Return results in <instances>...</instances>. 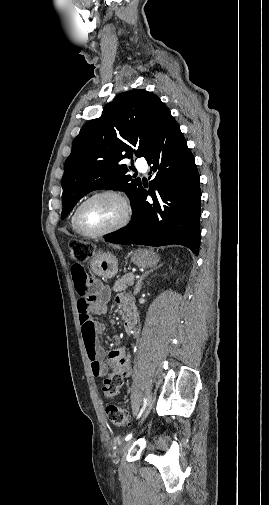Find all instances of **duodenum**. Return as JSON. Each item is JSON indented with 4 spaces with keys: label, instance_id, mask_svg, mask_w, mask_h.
Here are the masks:
<instances>
[{
    "label": "duodenum",
    "instance_id": "410a0bca",
    "mask_svg": "<svg viewBox=\"0 0 269 505\" xmlns=\"http://www.w3.org/2000/svg\"><path fill=\"white\" fill-rule=\"evenodd\" d=\"M124 326L127 333H132L136 327V312L132 303L127 302L123 305Z\"/></svg>",
    "mask_w": 269,
    "mask_h": 505
}]
</instances>
